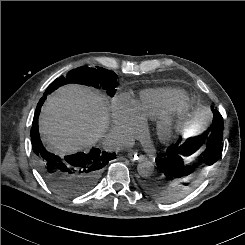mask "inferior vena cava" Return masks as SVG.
Segmentation results:
<instances>
[{
    "instance_id": "602c4592",
    "label": "inferior vena cava",
    "mask_w": 245,
    "mask_h": 245,
    "mask_svg": "<svg viewBox=\"0 0 245 245\" xmlns=\"http://www.w3.org/2000/svg\"><path fill=\"white\" fill-rule=\"evenodd\" d=\"M134 144V142L129 138L115 137L111 134L105 136L103 141V146L109 151H120L125 148H129Z\"/></svg>"
}]
</instances>
